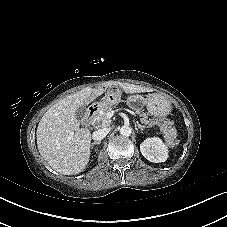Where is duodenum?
<instances>
[{"mask_svg":"<svg viewBox=\"0 0 227 227\" xmlns=\"http://www.w3.org/2000/svg\"><path fill=\"white\" fill-rule=\"evenodd\" d=\"M98 106L95 104H92L88 107L85 115L81 119V124L83 126H88L91 124L93 118L95 117L97 113Z\"/></svg>","mask_w":227,"mask_h":227,"instance_id":"duodenum-1","label":"duodenum"}]
</instances>
